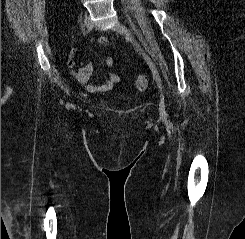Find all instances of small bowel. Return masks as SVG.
I'll return each instance as SVG.
<instances>
[{
    "label": "small bowel",
    "mask_w": 245,
    "mask_h": 239,
    "mask_svg": "<svg viewBox=\"0 0 245 239\" xmlns=\"http://www.w3.org/2000/svg\"><path fill=\"white\" fill-rule=\"evenodd\" d=\"M98 42L104 46L108 45V39L106 37H100L98 39ZM77 57H78L77 49H72L68 58L70 74L88 92L90 93L106 92L113 89V87L120 82L121 76L113 72H109L102 82H95V83L91 82L93 65L87 64L84 66H78ZM104 63L107 67H113L114 59L108 56L104 59Z\"/></svg>",
    "instance_id": "1"
}]
</instances>
